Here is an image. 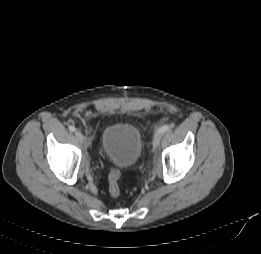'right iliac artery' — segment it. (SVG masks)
I'll use <instances>...</instances> for the list:
<instances>
[{"instance_id":"82829eb1","label":"right iliac artery","mask_w":261,"mask_h":254,"mask_svg":"<svg viewBox=\"0 0 261 254\" xmlns=\"http://www.w3.org/2000/svg\"><path fill=\"white\" fill-rule=\"evenodd\" d=\"M69 130H70L71 132H74V131H75V127H74L73 125H70V126H69Z\"/></svg>"}]
</instances>
